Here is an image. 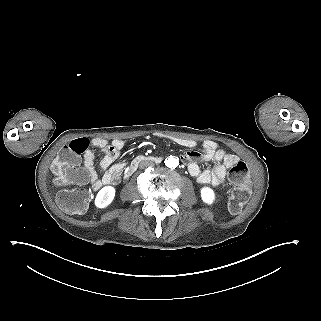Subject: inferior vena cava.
Masks as SVG:
<instances>
[{
	"label": "inferior vena cava",
	"instance_id": "inferior-vena-cava-1",
	"mask_svg": "<svg viewBox=\"0 0 321 321\" xmlns=\"http://www.w3.org/2000/svg\"><path fill=\"white\" fill-rule=\"evenodd\" d=\"M153 166H154V162H152L150 160H142L139 163V168L140 169H144V168H147V167H153Z\"/></svg>",
	"mask_w": 321,
	"mask_h": 321
}]
</instances>
